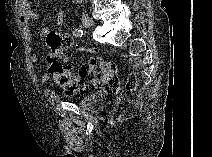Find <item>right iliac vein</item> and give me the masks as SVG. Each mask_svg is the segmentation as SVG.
<instances>
[{
	"mask_svg": "<svg viewBox=\"0 0 212 157\" xmlns=\"http://www.w3.org/2000/svg\"><path fill=\"white\" fill-rule=\"evenodd\" d=\"M81 22L86 28H91L94 26V21L87 14L81 15Z\"/></svg>",
	"mask_w": 212,
	"mask_h": 157,
	"instance_id": "1",
	"label": "right iliac vein"
}]
</instances>
